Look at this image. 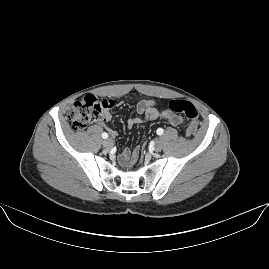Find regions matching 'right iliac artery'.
<instances>
[{
    "label": "right iliac artery",
    "instance_id": "82829eb1",
    "mask_svg": "<svg viewBox=\"0 0 269 269\" xmlns=\"http://www.w3.org/2000/svg\"><path fill=\"white\" fill-rule=\"evenodd\" d=\"M102 138H104V139H106V138H108V134L107 133H102Z\"/></svg>",
    "mask_w": 269,
    "mask_h": 269
}]
</instances>
